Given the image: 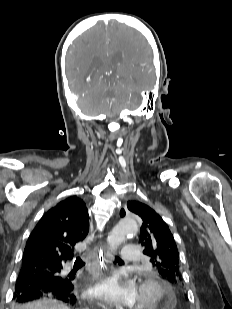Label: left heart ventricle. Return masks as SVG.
I'll return each instance as SVG.
<instances>
[{"label":"left heart ventricle","instance_id":"1","mask_svg":"<svg viewBox=\"0 0 232 309\" xmlns=\"http://www.w3.org/2000/svg\"><path fill=\"white\" fill-rule=\"evenodd\" d=\"M142 298H143V296L138 293L137 299H136V304H138L141 301Z\"/></svg>","mask_w":232,"mask_h":309}]
</instances>
